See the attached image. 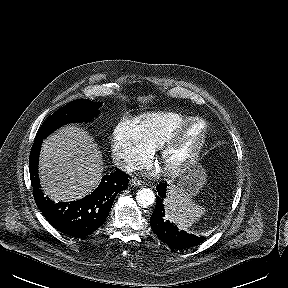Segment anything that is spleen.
I'll list each match as a JSON object with an SVG mask.
<instances>
[{"mask_svg": "<svg viewBox=\"0 0 288 288\" xmlns=\"http://www.w3.org/2000/svg\"><path fill=\"white\" fill-rule=\"evenodd\" d=\"M165 219L170 220L181 229H188L204 214L202 206L194 203L186 195L177 194L172 188L164 201Z\"/></svg>", "mask_w": 288, "mask_h": 288, "instance_id": "spleen-1", "label": "spleen"}]
</instances>
